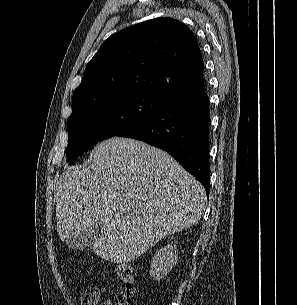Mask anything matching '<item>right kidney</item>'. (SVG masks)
<instances>
[{
    "label": "right kidney",
    "instance_id": "1",
    "mask_svg": "<svg viewBox=\"0 0 297 305\" xmlns=\"http://www.w3.org/2000/svg\"><path fill=\"white\" fill-rule=\"evenodd\" d=\"M178 259L176 245H167L154 255L151 262L150 275L155 280H161L171 271Z\"/></svg>",
    "mask_w": 297,
    "mask_h": 305
}]
</instances>
